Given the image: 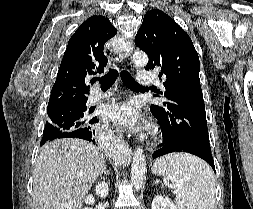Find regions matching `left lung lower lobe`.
I'll return each mask as SVG.
<instances>
[{
    "label": "left lung lower lobe",
    "instance_id": "obj_1",
    "mask_svg": "<svg viewBox=\"0 0 253 209\" xmlns=\"http://www.w3.org/2000/svg\"><path fill=\"white\" fill-rule=\"evenodd\" d=\"M172 152H187V153L196 155L202 158L203 160H205L207 163H209V165L215 171L214 160H213L211 151H207L202 148H198V147L188 145V144L172 143V142L163 140L162 147L154 151V153L152 154V157L153 159H156L160 156H163Z\"/></svg>",
    "mask_w": 253,
    "mask_h": 209
}]
</instances>
